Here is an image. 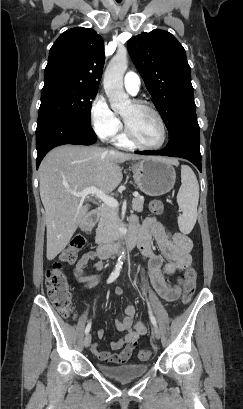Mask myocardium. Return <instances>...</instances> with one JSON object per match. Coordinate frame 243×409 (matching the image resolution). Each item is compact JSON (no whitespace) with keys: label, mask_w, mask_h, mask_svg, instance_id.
I'll use <instances>...</instances> for the list:
<instances>
[{"label":"myocardium","mask_w":243,"mask_h":409,"mask_svg":"<svg viewBox=\"0 0 243 409\" xmlns=\"http://www.w3.org/2000/svg\"><path fill=\"white\" fill-rule=\"evenodd\" d=\"M133 103V105L137 106V107H143L145 109H147L148 111H150L155 118L157 119V121L160 124L161 127V132H162V137L161 140L157 143V144H147L143 141H141L139 138H137L134 133L132 132L129 124L126 122V120L124 119V124H125V135L127 137V139L134 145L142 147V148H146V149H159L162 146L165 145L166 141H167V127H166V123L162 117V115L160 114V112L153 106L151 105L149 102L142 100V99H134L131 101Z\"/></svg>","instance_id":"obj_1"}]
</instances>
